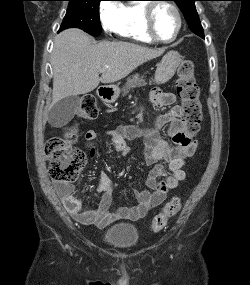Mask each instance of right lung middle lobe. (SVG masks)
Here are the masks:
<instances>
[{
  "label": "right lung middle lobe",
  "instance_id": "obj_1",
  "mask_svg": "<svg viewBox=\"0 0 250 285\" xmlns=\"http://www.w3.org/2000/svg\"><path fill=\"white\" fill-rule=\"evenodd\" d=\"M66 16L60 31L69 27H78L93 36L101 34L99 4L102 0H67Z\"/></svg>",
  "mask_w": 250,
  "mask_h": 285
}]
</instances>
